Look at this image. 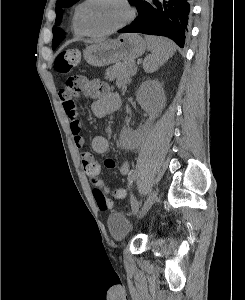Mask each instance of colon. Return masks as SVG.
<instances>
[{
	"label": "colon",
	"mask_w": 245,
	"mask_h": 300,
	"mask_svg": "<svg viewBox=\"0 0 245 300\" xmlns=\"http://www.w3.org/2000/svg\"><path fill=\"white\" fill-rule=\"evenodd\" d=\"M79 61V51L74 49L66 50L60 52L56 56L54 69L60 75H67L79 64ZM64 87L67 91H69V93H78L82 90V85L79 79L75 77L67 78ZM97 183H100L102 185V188L100 190H97L95 188V185ZM108 192L109 190L100 180L94 182L93 194L96 203L101 211H106L112 206V203L107 196ZM114 195L118 198H124L126 196V191L124 189H118L114 192Z\"/></svg>",
	"instance_id": "1"
}]
</instances>
